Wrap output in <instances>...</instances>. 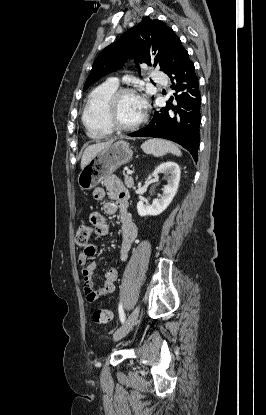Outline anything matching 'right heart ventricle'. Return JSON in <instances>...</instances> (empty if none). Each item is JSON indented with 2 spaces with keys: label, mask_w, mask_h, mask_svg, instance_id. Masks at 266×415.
Wrapping results in <instances>:
<instances>
[{
  "label": "right heart ventricle",
  "mask_w": 266,
  "mask_h": 415,
  "mask_svg": "<svg viewBox=\"0 0 266 415\" xmlns=\"http://www.w3.org/2000/svg\"><path fill=\"white\" fill-rule=\"evenodd\" d=\"M117 87L106 82L90 93L82 114V121L90 138L103 139L114 132L107 120L106 106Z\"/></svg>",
  "instance_id": "1"
}]
</instances>
